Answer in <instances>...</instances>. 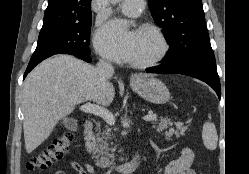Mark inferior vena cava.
Returning a JSON list of instances; mask_svg holds the SVG:
<instances>
[{
    "label": "inferior vena cava",
    "instance_id": "1",
    "mask_svg": "<svg viewBox=\"0 0 249 174\" xmlns=\"http://www.w3.org/2000/svg\"><path fill=\"white\" fill-rule=\"evenodd\" d=\"M97 72L101 80L106 83L108 82V79L113 75L114 68L111 63L106 62L104 60H100L97 64Z\"/></svg>",
    "mask_w": 249,
    "mask_h": 174
}]
</instances>
